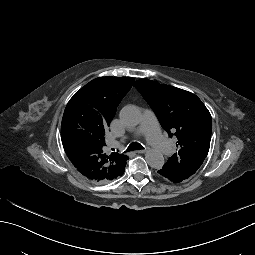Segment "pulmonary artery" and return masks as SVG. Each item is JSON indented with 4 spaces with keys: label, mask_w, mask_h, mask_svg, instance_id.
<instances>
[{
    "label": "pulmonary artery",
    "mask_w": 255,
    "mask_h": 255,
    "mask_svg": "<svg viewBox=\"0 0 255 255\" xmlns=\"http://www.w3.org/2000/svg\"><path fill=\"white\" fill-rule=\"evenodd\" d=\"M143 122L139 125V133H143L147 140L154 146L155 150L163 153L164 157L172 159L175 156L172 145L166 141L161 132L158 131V125L155 122V113L148 111L143 117ZM146 120V121H145ZM112 147H117L118 142H112Z\"/></svg>",
    "instance_id": "1"
}]
</instances>
